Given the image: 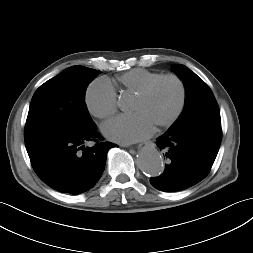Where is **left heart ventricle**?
<instances>
[{"mask_svg": "<svg viewBox=\"0 0 253 253\" xmlns=\"http://www.w3.org/2000/svg\"><path fill=\"white\" fill-rule=\"evenodd\" d=\"M179 101V89L170 80L159 83L146 97L134 98L131 110L144 113L155 125L167 120Z\"/></svg>", "mask_w": 253, "mask_h": 253, "instance_id": "b2bd125f", "label": "left heart ventricle"}]
</instances>
